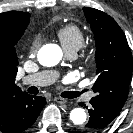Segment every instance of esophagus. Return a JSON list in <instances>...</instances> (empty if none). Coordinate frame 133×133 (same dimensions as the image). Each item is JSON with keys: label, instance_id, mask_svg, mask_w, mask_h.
<instances>
[{"label": "esophagus", "instance_id": "1", "mask_svg": "<svg viewBox=\"0 0 133 133\" xmlns=\"http://www.w3.org/2000/svg\"><path fill=\"white\" fill-rule=\"evenodd\" d=\"M54 101H56L57 103H60V104H65L67 102L66 99L61 98V97H55Z\"/></svg>", "mask_w": 133, "mask_h": 133}]
</instances>
